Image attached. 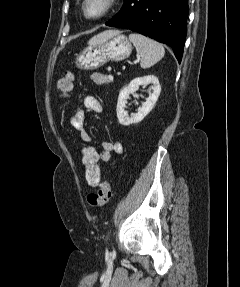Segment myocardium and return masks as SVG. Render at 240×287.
<instances>
[{
    "label": "myocardium",
    "instance_id": "myocardium-1",
    "mask_svg": "<svg viewBox=\"0 0 240 287\" xmlns=\"http://www.w3.org/2000/svg\"><path fill=\"white\" fill-rule=\"evenodd\" d=\"M88 3V0H83L82 1V11L83 14L92 20H99L102 19L104 17H106L114 8L116 0H104V7L102 9V11L100 13H98L97 15H89L86 9V5Z\"/></svg>",
    "mask_w": 240,
    "mask_h": 287
}]
</instances>
